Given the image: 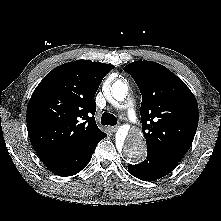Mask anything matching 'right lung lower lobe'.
Here are the masks:
<instances>
[{
    "mask_svg": "<svg viewBox=\"0 0 221 221\" xmlns=\"http://www.w3.org/2000/svg\"><path fill=\"white\" fill-rule=\"evenodd\" d=\"M106 136L107 134H103L96 137L66 155L45 163V165L56 175L63 177L75 175L89 163L97 144Z\"/></svg>",
    "mask_w": 221,
    "mask_h": 221,
    "instance_id": "1",
    "label": "right lung lower lobe"
}]
</instances>
